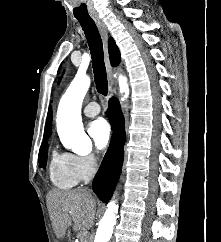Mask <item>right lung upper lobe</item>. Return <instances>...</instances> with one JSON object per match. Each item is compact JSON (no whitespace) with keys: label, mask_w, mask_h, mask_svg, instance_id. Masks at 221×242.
<instances>
[{"label":"right lung upper lobe","mask_w":221,"mask_h":242,"mask_svg":"<svg viewBox=\"0 0 221 242\" xmlns=\"http://www.w3.org/2000/svg\"><path fill=\"white\" fill-rule=\"evenodd\" d=\"M109 55L110 61L113 66H116L120 62V52L119 49L112 38L109 39ZM52 109L51 107L48 110L47 121L45 126L44 138L50 137L52 133Z\"/></svg>","instance_id":"obj_1"}]
</instances>
